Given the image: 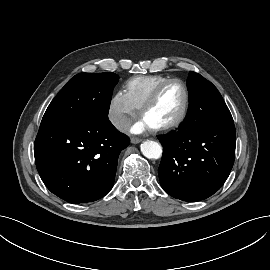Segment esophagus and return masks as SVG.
I'll return each mask as SVG.
<instances>
[{
	"instance_id": "esophagus-1",
	"label": "esophagus",
	"mask_w": 270,
	"mask_h": 270,
	"mask_svg": "<svg viewBox=\"0 0 270 270\" xmlns=\"http://www.w3.org/2000/svg\"><path fill=\"white\" fill-rule=\"evenodd\" d=\"M140 142H141V139L138 138V137H132L131 138V143H133V144H138Z\"/></svg>"
}]
</instances>
